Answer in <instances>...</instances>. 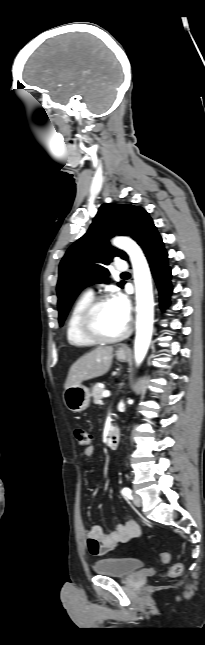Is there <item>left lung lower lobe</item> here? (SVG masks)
I'll return each mask as SVG.
<instances>
[{"label": "left lung lower lobe", "mask_w": 205, "mask_h": 645, "mask_svg": "<svg viewBox=\"0 0 205 645\" xmlns=\"http://www.w3.org/2000/svg\"><path fill=\"white\" fill-rule=\"evenodd\" d=\"M139 245L149 262L159 290L161 307L164 309L169 305L170 295L173 291L170 283L172 275L171 268L168 266V253L154 225L149 228Z\"/></svg>", "instance_id": "obj_1"}]
</instances>
